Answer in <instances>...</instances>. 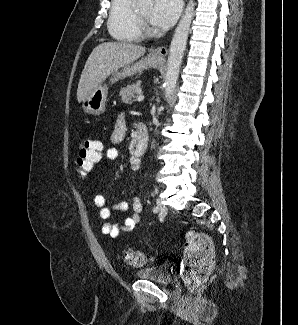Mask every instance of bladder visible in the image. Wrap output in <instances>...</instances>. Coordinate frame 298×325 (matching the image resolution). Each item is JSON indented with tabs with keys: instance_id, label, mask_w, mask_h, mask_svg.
<instances>
[{
	"instance_id": "bladder-1",
	"label": "bladder",
	"mask_w": 298,
	"mask_h": 325,
	"mask_svg": "<svg viewBox=\"0 0 298 325\" xmlns=\"http://www.w3.org/2000/svg\"><path fill=\"white\" fill-rule=\"evenodd\" d=\"M135 276L142 280H148L161 285H170L172 283L171 273L161 266H148L139 269Z\"/></svg>"
}]
</instances>
